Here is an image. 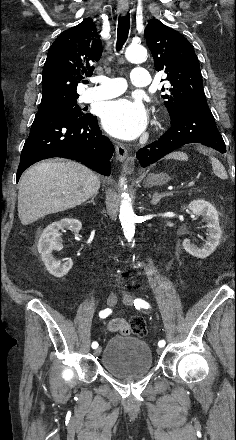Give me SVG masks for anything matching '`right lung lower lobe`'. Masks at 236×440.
I'll return each mask as SVG.
<instances>
[{
	"instance_id": "1",
	"label": "right lung lower lobe",
	"mask_w": 236,
	"mask_h": 440,
	"mask_svg": "<svg viewBox=\"0 0 236 440\" xmlns=\"http://www.w3.org/2000/svg\"><path fill=\"white\" fill-rule=\"evenodd\" d=\"M113 145L102 135L92 114L74 116L56 110H39L21 153L16 179L32 164L52 157L76 160L110 175Z\"/></svg>"
}]
</instances>
